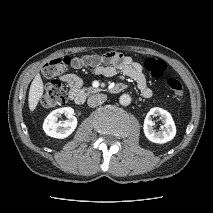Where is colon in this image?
<instances>
[{"instance_id": "obj_1", "label": "colon", "mask_w": 213, "mask_h": 213, "mask_svg": "<svg viewBox=\"0 0 213 213\" xmlns=\"http://www.w3.org/2000/svg\"><path fill=\"white\" fill-rule=\"evenodd\" d=\"M69 63V57H62L53 59L44 65L43 74L49 79V81L45 84L44 93L41 99V104L44 107L53 108L66 104L68 100L67 91L64 89L60 81L54 79V77L62 74ZM144 67L154 79L162 78L167 69V65L163 60L155 58L147 59L144 63ZM166 85L177 100H182L184 92L183 86L179 80L175 78H168L166 80Z\"/></svg>"}]
</instances>
